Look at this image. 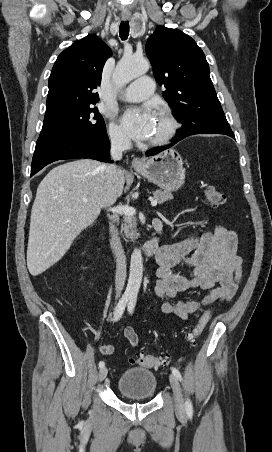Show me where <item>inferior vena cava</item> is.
Listing matches in <instances>:
<instances>
[{
  "mask_svg": "<svg viewBox=\"0 0 272 452\" xmlns=\"http://www.w3.org/2000/svg\"><path fill=\"white\" fill-rule=\"evenodd\" d=\"M110 139H111V150H110L111 158L114 161L121 160L123 151L131 148L130 140L120 132L112 133L110 135ZM105 173L107 180L110 182L117 177L119 169L115 164H108L105 166ZM110 226L112 230L110 242L111 245L113 246L116 255L115 291L116 297L118 298L120 297L125 285L127 270L126 256L120 241V237L118 236L117 228L115 227V225H113V223H110Z\"/></svg>",
  "mask_w": 272,
  "mask_h": 452,
  "instance_id": "602c4592",
  "label": "inferior vena cava"
}]
</instances>
